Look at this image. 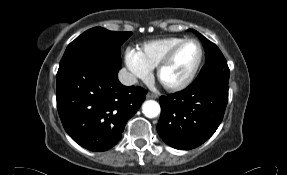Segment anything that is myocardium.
Wrapping results in <instances>:
<instances>
[{
    "mask_svg": "<svg viewBox=\"0 0 287 175\" xmlns=\"http://www.w3.org/2000/svg\"><path fill=\"white\" fill-rule=\"evenodd\" d=\"M194 42L198 45L199 48V57L198 60L194 66V68L192 69V71L190 72V74L181 82L178 83H174V84H170V83H166L162 80V72L164 71V69L166 67H168L170 65V63L173 61L174 57L176 56V54L178 53V51L186 44ZM203 58H204V50H203V46L202 44L194 38H189V39H184L182 42L178 43L177 45H175L166 55L165 57L160 61V63L157 65L156 67V77L159 81V83L168 91L171 92H178L181 91L185 88H187L196 78L200 67L202 65L203 62Z\"/></svg>",
    "mask_w": 287,
    "mask_h": 175,
    "instance_id": "myocardium-1",
    "label": "myocardium"
}]
</instances>
